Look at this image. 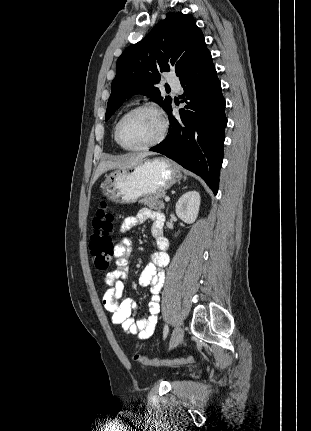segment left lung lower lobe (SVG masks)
Segmentation results:
<instances>
[{
    "label": "left lung lower lobe",
    "mask_w": 311,
    "mask_h": 431,
    "mask_svg": "<svg viewBox=\"0 0 311 431\" xmlns=\"http://www.w3.org/2000/svg\"><path fill=\"white\" fill-rule=\"evenodd\" d=\"M180 82L187 105L179 110V119L171 114L172 107L169 109L168 136L150 151L164 154L198 174L217 194L227 119L221 84L209 50L200 54Z\"/></svg>",
    "instance_id": "obj_1"
}]
</instances>
